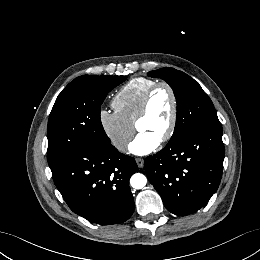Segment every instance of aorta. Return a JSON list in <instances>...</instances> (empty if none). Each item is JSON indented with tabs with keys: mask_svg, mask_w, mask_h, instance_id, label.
Instances as JSON below:
<instances>
[{
	"mask_svg": "<svg viewBox=\"0 0 260 260\" xmlns=\"http://www.w3.org/2000/svg\"><path fill=\"white\" fill-rule=\"evenodd\" d=\"M147 183V178L141 173H135L130 179V184L134 189H142Z\"/></svg>",
	"mask_w": 260,
	"mask_h": 260,
	"instance_id": "obj_1",
	"label": "aorta"
}]
</instances>
